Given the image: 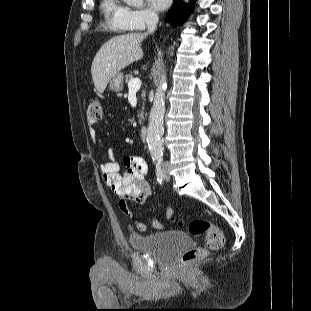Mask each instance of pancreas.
<instances>
[{
  "mask_svg": "<svg viewBox=\"0 0 311 311\" xmlns=\"http://www.w3.org/2000/svg\"><path fill=\"white\" fill-rule=\"evenodd\" d=\"M133 78H134V77H133L132 74H128V75L125 76V82H126V83H129V81H130L131 79H133ZM141 97H142L143 99H145V97H146V92H145V91H142ZM138 118H139V123L141 124V123H142V120L144 119V117H143V112H140V113L138 114Z\"/></svg>",
  "mask_w": 311,
  "mask_h": 311,
  "instance_id": "cf45deb5",
  "label": "pancreas"
}]
</instances>
